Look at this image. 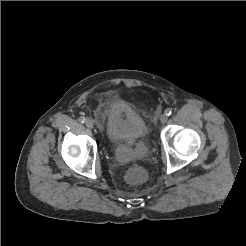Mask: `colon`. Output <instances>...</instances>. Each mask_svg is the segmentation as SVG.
Instances as JSON below:
<instances>
[{
	"label": "colon",
	"instance_id": "5ec220e1",
	"mask_svg": "<svg viewBox=\"0 0 246 246\" xmlns=\"http://www.w3.org/2000/svg\"><path fill=\"white\" fill-rule=\"evenodd\" d=\"M125 177L130 184H140L146 180L147 173L141 167H133L128 170Z\"/></svg>",
	"mask_w": 246,
	"mask_h": 246
}]
</instances>
